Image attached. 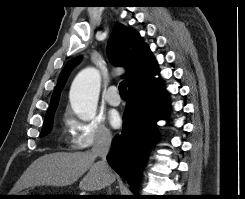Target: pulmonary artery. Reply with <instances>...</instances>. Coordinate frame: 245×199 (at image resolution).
I'll return each instance as SVG.
<instances>
[{
	"label": "pulmonary artery",
	"instance_id": "obj_1",
	"mask_svg": "<svg viewBox=\"0 0 245 199\" xmlns=\"http://www.w3.org/2000/svg\"><path fill=\"white\" fill-rule=\"evenodd\" d=\"M105 99L112 106H119L121 104V98L118 95V89L116 86H110L107 89Z\"/></svg>",
	"mask_w": 245,
	"mask_h": 199
}]
</instances>
